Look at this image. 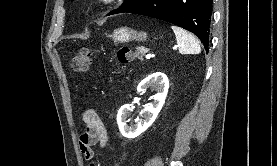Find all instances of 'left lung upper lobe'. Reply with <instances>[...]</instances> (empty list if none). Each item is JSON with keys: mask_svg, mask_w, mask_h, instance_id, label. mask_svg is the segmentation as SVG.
<instances>
[{"mask_svg": "<svg viewBox=\"0 0 277 166\" xmlns=\"http://www.w3.org/2000/svg\"><path fill=\"white\" fill-rule=\"evenodd\" d=\"M142 1L143 0H125V2L123 3V5L120 8H118L117 10L112 11L111 13H109V15L128 11L131 8L138 5L139 3H141Z\"/></svg>", "mask_w": 277, "mask_h": 166, "instance_id": "obj_1", "label": "left lung upper lobe"}]
</instances>
